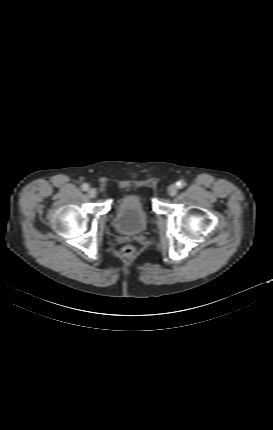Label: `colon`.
Returning <instances> with one entry per match:
<instances>
[{
  "mask_svg": "<svg viewBox=\"0 0 273 430\" xmlns=\"http://www.w3.org/2000/svg\"><path fill=\"white\" fill-rule=\"evenodd\" d=\"M122 256L125 258H131L135 253V248L132 245H126L122 248Z\"/></svg>",
  "mask_w": 273,
  "mask_h": 430,
  "instance_id": "colon-1",
  "label": "colon"
}]
</instances>
